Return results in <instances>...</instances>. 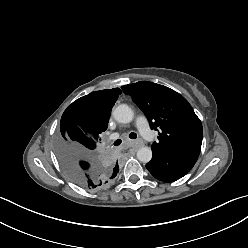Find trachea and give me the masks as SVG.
I'll return each instance as SVG.
<instances>
[{
	"instance_id": "obj_1",
	"label": "trachea",
	"mask_w": 248,
	"mask_h": 248,
	"mask_svg": "<svg viewBox=\"0 0 248 248\" xmlns=\"http://www.w3.org/2000/svg\"><path fill=\"white\" fill-rule=\"evenodd\" d=\"M129 137L131 138V139H136L137 138V134L136 133H134V132H132V133H130L129 134ZM121 139H117L114 143H113V145L114 146H119L120 144H121Z\"/></svg>"
}]
</instances>
